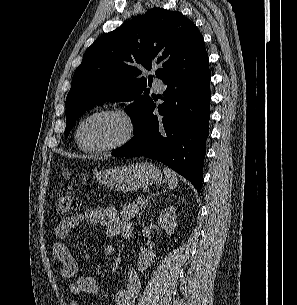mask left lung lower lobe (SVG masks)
Here are the masks:
<instances>
[{"instance_id": "left-lung-lower-lobe-1", "label": "left lung lower lobe", "mask_w": 297, "mask_h": 305, "mask_svg": "<svg viewBox=\"0 0 297 305\" xmlns=\"http://www.w3.org/2000/svg\"><path fill=\"white\" fill-rule=\"evenodd\" d=\"M210 70L175 71L162 81L167 88L153 115V100L136 122L134 137L112 152L117 157L158 160L202 187L205 144L209 134Z\"/></svg>"}]
</instances>
